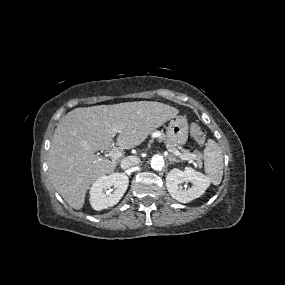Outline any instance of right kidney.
Here are the masks:
<instances>
[{
  "mask_svg": "<svg viewBox=\"0 0 285 285\" xmlns=\"http://www.w3.org/2000/svg\"><path fill=\"white\" fill-rule=\"evenodd\" d=\"M128 182V176L122 173L99 177L90 188L92 208L100 211L116 205L127 190ZM107 189L108 191L105 193Z\"/></svg>",
  "mask_w": 285,
  "mask_h": 285,
  "instance_id": "right-kidney-1",
  "label": "right kidney"
}]
</instances>
